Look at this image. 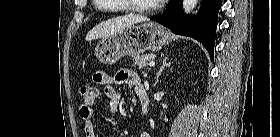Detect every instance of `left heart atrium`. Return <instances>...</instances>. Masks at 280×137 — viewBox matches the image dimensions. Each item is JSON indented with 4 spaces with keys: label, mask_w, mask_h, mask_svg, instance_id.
Listing matches in <instances>:
<instances>
[{
    "label": "left heart atrium",
    "mask_w": 280,
    "mask_h": 137,
    "mask_svg": "<svg viewBox=\"0 0 280 137\" xmlns=\"http://www.w3.org/2000/svg\"><path fill=\"white\" fill-rule=\"evenodd\" d=\"M168 0H154L155 3H160V4H163V3H166Z\"/></svg>",
    "instance_id": "obj_1"
}]
</instances>
